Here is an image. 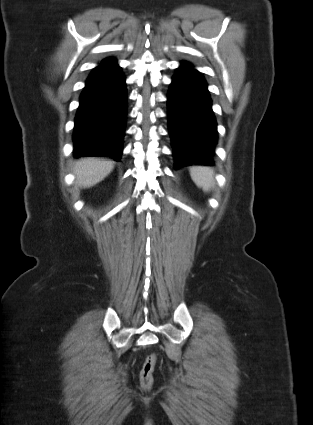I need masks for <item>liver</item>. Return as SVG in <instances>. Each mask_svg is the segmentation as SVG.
<instances>
[{
  "mask_svg": "<svg viewBox=\"0 0 313 425\" xmlns=\"http://www.w3.org/2000/svg\"><path fill=\"white\" fill-rule=\"evenodd\" d=\"M113 168V161L98 158L80 159L76 162L73 170L76 184L80 187L90 188L108 176Z\"/></svg>",
  "mask_w": 313,
  "mask_h": 425,
  "instance_id": "1",
  "label": "liver"
}]
</instances>
